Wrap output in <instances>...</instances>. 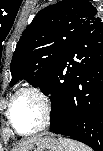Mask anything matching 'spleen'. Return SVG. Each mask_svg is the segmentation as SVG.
Segmentation results:
<instances>
[{
    "label": "spleen",
    "mask_w": 103,
    "mask_h": 151,
    "mask_svg": "<svg viewBox=\"0 0 103 151\" xmlns=\"http://www.w3.org/2000/svg\"><path fill=\"white\" fill-rule=\"evenodd\" d=\"M61 144L64 146L65 151H92L91 148L85 146L84 144L72 140L70 138H59Z\"/></svg>",
    "instance_id": "3e777b00"
}]
</instances>
